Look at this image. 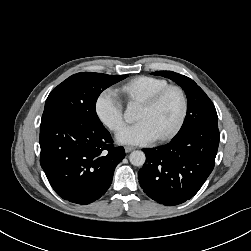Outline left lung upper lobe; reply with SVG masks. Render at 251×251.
Here are the masks:
<instances>
[{"mask_svg":"<svg viewBox=\"0 0 251 251\" xmlns=\"http://www.w3.org/2000/svg\"><path fill=\"white\" fill-rule=\"evenodd\" d=\"M152 74L175 81L186 93L187 114L176 136L201 127L218 128V117L214 104L192 79L172 71H157Z\"/></svg>","mask_w":251,"mask_h":251,"instance_id":"1","label":"left lung upper lobe"}]
</instances>
